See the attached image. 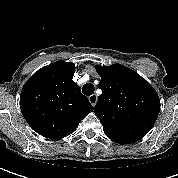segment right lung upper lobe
I'll return each mask as SVG.
<instances>
[{
  "instance_id": "obj_1",
  "label": "right lung upper lobe",
  "mask_w": 178,
  "mask_h": 178,
  "mask_svg": "<svg viewBox=\"0 0 178 178\" xmlns=\"http://www.w3.org/2000/svg\"><path fill=\"white\" fill-rule=\"evenodd\" d=\"M75 65L58 61L34 73L23 86L20 108L38 134L60 139L75 131L93 106L72 80Z\"/></svg>"
}]
</instances>
